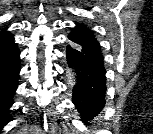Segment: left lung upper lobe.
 Returning a JSON list of instances; mask_svg holds the SVG:
<instances>
[{
	"label": "left lung upper lobe",
	"instance_id": "5c2ea615",
	"mask_svg": "<svg viewBox=\"0 0 153 134\" xmlns=\"http://www.w3.org/2000/svg\"><path fill=\"white\" fill-rule=\"evenodd\" d=\"M68 38L81 47L101 53L99 43L94 38L90 29L81 24H76V27L68 35Z\"/></svg>",
	"mask_w": 153,
	"mask_h": 134
}]
</instances>
